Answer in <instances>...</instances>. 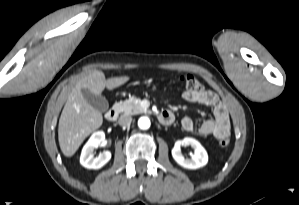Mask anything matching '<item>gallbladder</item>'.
<instances>
[{"label": "gallbladder", "instance_id": "obj_1", "mask_svg": "<svg viewBox=\"0 0 299 205\" xmlns=\"http://www.w3.org/2000/svg\"><path fill=\"white\" fill-rule=\"evenodd\" d=\"M82 95L86 101L96 110L106 112L109 108L107 99L102 95H95L87 89H82Z\"/></svg>", "mask_w": 299, "mask_h": 205}]
</instances>
